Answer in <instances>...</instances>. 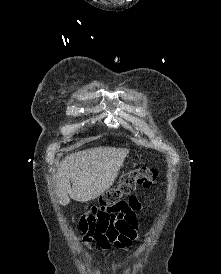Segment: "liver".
I'll return each mask as SVG.
<instances>
[{"mask_svg": "<svg viewBox=\"0 0 221 274\" xmlns=\"http://www.w3.org/2000/svg\"><path fill=\"white\" fill-rule=\"evenodd\" d=\"M128 153L127 149L98 147L66 157L55 174L59 203L88 202L102 195L114 184Z\"/></svg>", "mask_w": 221, "mask_h": 274, "instance_id": "1", "label": "liver"}]
</instances>
